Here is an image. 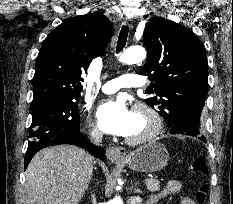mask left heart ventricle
Here are the masks:
<instances>
[{
    "label": "left heart ventricle",
    "instance_id": "1",
    "mask_svg": "<svg viewBox=\"0 0 233 204\" xmlns=\"http://www.w3.org/2000/svg\"><path fill=\"white\" fill-rule=\"evenodd\" d=\"M150 128V122L142 113L132 112V121L126 137H137L144 134Z\"/></svg>",
    "mask_w": 233,
    "mask_h": 204
}]
</instances>
